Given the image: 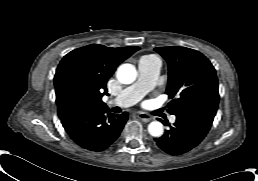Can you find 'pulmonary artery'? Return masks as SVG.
<instances>
[{
	"instance_id": "obj_1",
	"label": "pulmonary artery",
	"mask_w": 258,
	"mask_h": 181,
	"mask_svg": "<svg viewBox=\"0 0 258 181\" xmlns=\"http://www.w3.org/2000/svg\"><path fill=\"white\" fill-rule=\"evenodd\" d=\"M161 68V60L156 56H146L138 64V80L126 87L120 94L109 101L120 107H129L139 102L155 86ZM175 116L170 117L174 122Z\"/></svg>"
}]
</instances>
